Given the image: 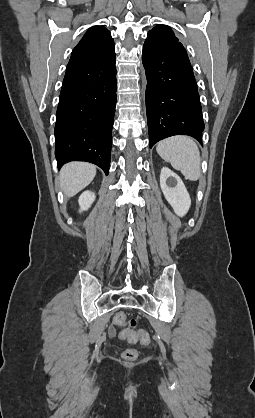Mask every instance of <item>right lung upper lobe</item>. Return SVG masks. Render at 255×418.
I'll return each instance as SVG.
<instances>
[{"label":"right lung upper lobe","mask_w":255,"mask_h":418,"mask_svg":"<svg viewBox=\"0 0 255 418\" xmlns=\"http://www.w3.org/2000/svg\"><path fill=\"white\" fill-rule=\"evenodd\" d=\"M113 57L115 45L110 32L103 26H93L73 49L67 70L105 62Z\"/></svg>","instance_id":"cb5924a9"}]
</instances>
